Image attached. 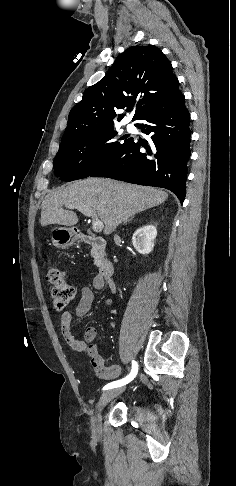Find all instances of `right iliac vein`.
<instances>
[{
    "label": "right iliac vein",
    "mask_w": 236,
    "mask_h": 486,
    "mask_svg": "<svg viewBox=\"0 0 236 486\" xmlns=\"http://www.w3.org/2000/svg\"><path fill=\"white\" fill-rule=\"evenodd\" d=\"M125 390L124 387H119V388H114L110 389L106 392H104L97 405H96V414L92 418V428H93V434L95 437H100L102 434V411L105 408V406L113 400L115 397L119 396L123 391Z\"/></svg>",
    "instance_id": "obj_1"
}]
</instances>
